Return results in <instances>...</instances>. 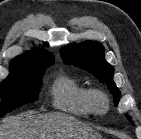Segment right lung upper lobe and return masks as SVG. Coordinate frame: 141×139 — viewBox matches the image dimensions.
Listing matches in <instances>:
<instances>
[{
    "label": "right lung upper lobe",
    "mask_w": 141,
    "mask_h": 139,
    "mask_svg": "<svg viewBox=\"0 0 141 139\" xmlns=\"http://www.w3.org/2000/svg\"><path fill=\"white\" fill-rule=\"evenodd\" d=\"M53 63L54 58L50 53L42 49H35L33 52L28 51L13 59L10 63V70L25 67L49 66Z\"/></svg>",
    "instance_id": "1"
}]
</instances>
